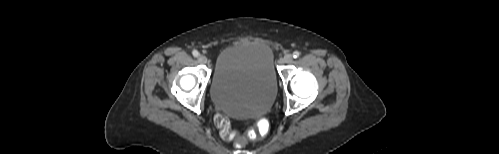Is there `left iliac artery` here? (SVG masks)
<instances>
[{
    "mask_svg": "<svg viewBox=\"0 0 499 154\" xmlns=\"http://www.w3.org/2000/svg\"><path fill=\"white\" fill-rule=\"evenodd\" d=\"M300 56V53L298 51L293 52V57L298 58Z\"/></svg>",
    "mask_w": 499,
    "mask_h": 154,
    "instance_id": "44dca946",
    "label": "left iliac artery"
}]
</instances>
